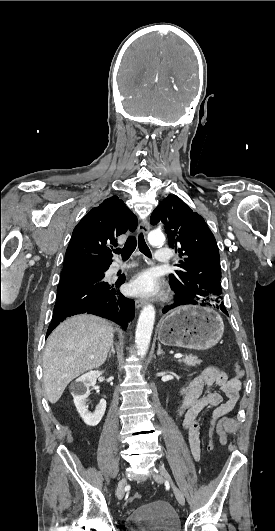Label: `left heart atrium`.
I'll return each instance as SVG.
<instances>
[{
  "instance_id": "1",
  "label": "left heart atrium",
  "mask_w": 275,
  "mask_h": 531,
  "mask_svg": "<svg viewBox=\"0 0 275 531\" xmlns=\"http://www.w3.org/2000/svg\"><path fill=\"white\" fill-rule=\"evenodd\" d=\"M158 277L152 271L137 274L130 283L131 291L135 294H149L156 290Z\"/></svg>"
}]
</instances>
